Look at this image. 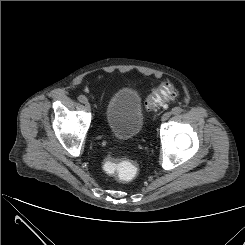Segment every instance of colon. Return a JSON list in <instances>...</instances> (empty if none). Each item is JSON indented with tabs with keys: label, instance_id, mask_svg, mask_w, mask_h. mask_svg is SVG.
Wrapping results in <instances>:
<instances>
[{
	"label": "colon",
	"instance_id": "5ec220e1",
	"mask_svg": "<svg viewBox=\"0 0 245 245\" xmlns=\"http://www.w3.org/2000/svg\"><path fill=\"white\" fill-rule=\"evenodd\" d=\"M176 97V90L169 82H163L152 92L146 101V106L154 110L167 101ZM103 170L106 174L114 176L121 182H129L135 175L136 167L129 160H106L103 164Z\"/></svg>",
	"mask_w": 245,
	"mask_h": 245
}]
</instances>
